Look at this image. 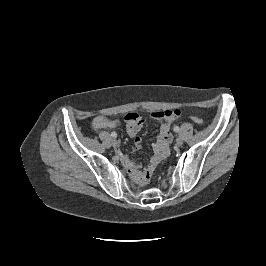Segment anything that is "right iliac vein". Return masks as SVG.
Masks as SVG:
<instances>
[{
	"label": "right iliac vein",
	"instance_id": "right-iliac-vein-1",
	"mask_svg": "<svg viewBox=\"0 0 266 266\" xmlns=\"http://www.w3.org/2000/svg\"><path fill=\"white\" fill-rule=\"evenodd\" d=\"M118 143H119L118 140H116V139H113V140H112V145H113V146H117Z\"/></svg>",
	"mask_w": 266,
	"mask_h": 266
}]
</instances>
